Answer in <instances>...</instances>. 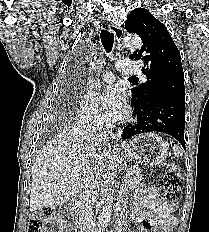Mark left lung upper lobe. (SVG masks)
<instances>
[{"label": "left lung upper lobe", "instance_id": "left-lung-upper-lobe-1", "mask_svg": "<svg viewBox=\"0 0 209 232\" xmlns=\"http://www.w3.org/2000/svg\"><path fill=\"white\" fill-rule=\"evenodd\" d=\"M129 33H136L142 39V46L129 57L143 60L142 72L147 82L131 89V103L140 108L157 99H184V73L177 46L166 27L147 9L133 10L126 22Z\"/></svg>", "mask_w": 209, "mask_h": 232}]
</instances>
